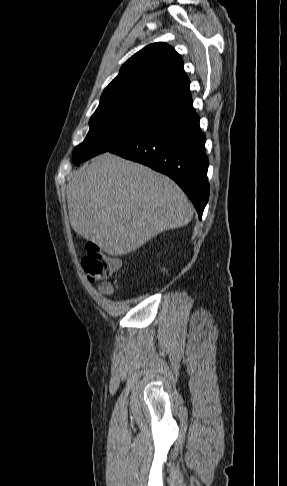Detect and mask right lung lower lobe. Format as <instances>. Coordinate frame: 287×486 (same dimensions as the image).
<instances>
[{
	"label": "right lung lower lobe",
	"instance_id": "right-lung-lower-lobe-1",
	"mask_svg": "<svg viewBox=\"0 0 287 486\" xmlns=\"http://www.w3.org/2000/svg\"><path fill=\"white\" fill-rule=\"evenodd\" d=\"M205 141L191 102L110 152L168 175L188 195L201 219L209 197Z\"/></svg>",
	"mask_w": 287,
	"mask_h": 486
}]
</instances>
